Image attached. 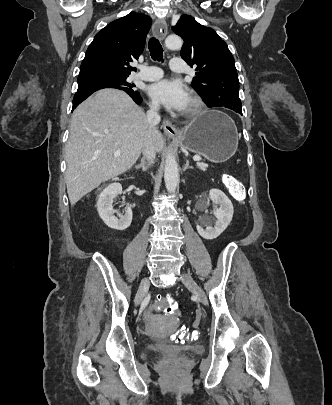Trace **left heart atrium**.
I'll return each mask as SVG.
<instances>
[{
	"label": "left heart atrium",
	"mask_w": 332,
	"mask_h": 405,
	"mask_svg": "<svg viewBox=\"0 0 332 405\" xmlns=\"http://www.w3.org/2000/svg\"><path fill=\"white\" fill-rule=\"evenodd\" d=\"M150 97L167 109L182 111L186 108L189 95L187 89L178 80H160L147 89Z\"/></svg>",
	"instance_id": "39dd6f15"
}]
</instances>
